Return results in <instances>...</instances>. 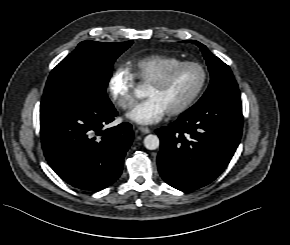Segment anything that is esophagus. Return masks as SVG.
<instances>
[{
	"instance_id": "1",
	"label": "esophagus",
	"mask_w": 290,
	"mask_h": 245,
	"mask_svg": "<svg viewBox=\"0 0 290 245\" xmlns=\"http://www.w3.org/2000/svg\"><path fill=\"white\" fill-rule=\"evenodd\" d=\"M138 130H139L141 133H143V134H148V133H150V129L147 128V127L139 126V127H138Z\"/></svg>"
}]
</instances>
